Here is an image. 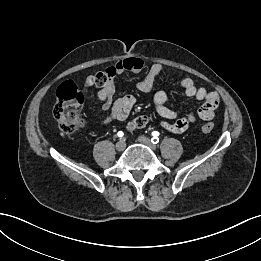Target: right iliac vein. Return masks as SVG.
I'll return each instance as SVG.
<instances>
[{"mask_svg": "<svg viewBox=\"0 0 261 261\" xmlns=\"http://www.w3.org/2000/svg\"><path fill=\"white\" fill-rule=\"evenodd\" d=\"M125 146H126L125 142L121 140V141L116 143L115 147H116L117 151H123L125 149Z\"/></svg>", "mask_w": 261, "mask_h": 261, "instance_id": "right-iliac-vein-1", "label": "right iliac vein"}]
</instances>
